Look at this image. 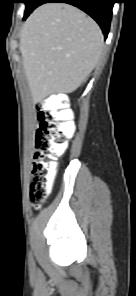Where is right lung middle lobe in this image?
Here are the masks:
<instances>
[{
    "label": "right lung middle lobe",
    "mask_w": 136,
    "mask_h": 296,
    "mask_svg": "<svg viewBox=\"0 0 136 296\" xmlns=\"http://www.w3.org/2000/svg\"><path fill=\"white\" fill-rule=\"evenodd\" d=\"M25 3V13L24 18H26L36 7L35 4L37 3V0H24Z\"/></svg>",
    "instance_id": "right-lung-middle-lobe-1"
}]
</instances>
